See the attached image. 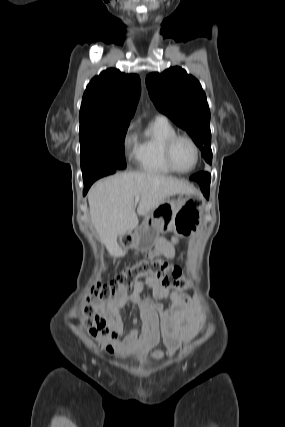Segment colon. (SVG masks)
Here are the masks:
<instances>
[{
	"instance_id": "5ec220e1",
	"label": "colon",
	"mask_w": 285,
	"mask_h": 427,
	"mask_svg": "<svg viewBox=\"0 0 285 427\" xmlns=\"http://www.w3.org/2000/svg\"><path fill=\"white\" fill-rule=\"evenodd\" d=\"M139 279L157 280L163 287L186 289L190 286L181 268L170 266L160 258L142 259L137 264L123 269L107 283L97 281L87 297L83 308L84 325L92 336L100 341L112 340L117 336L106 326L105 320L96 313L89 303L91 296L99 300H108L129 290Z\"/></svg>"
}]
</instances>
